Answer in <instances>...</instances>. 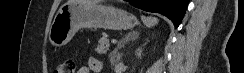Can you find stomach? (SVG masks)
Instances as JSON below:
<instances>
[{
  "label": "stomach",
  "mask_w": 244,
  "mask_h": 73,
  "mask_svg": "<svg viewBox=\"0 0 244 73\" xmlns=\"http://www.w3.org/2000/svg\"><path fill=\"white\" fill-rule=\"evenodd\" d=\"M138 24L137 18L121 9L83 0L65 3L57 12L49 30V41L55 47L70 42L81 28L128 30Z\"/></svg>",
  "instance_id": "0dacf381"
}]
</instances>
